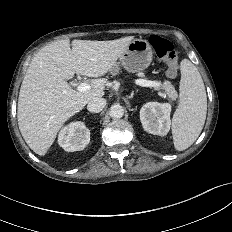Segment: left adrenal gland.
I'll return each mask as SVG.
<instances>
[{
  "mask_svg": "<svg viewBox=\"0 0 232 232\" xmlns=\"http://www.w3.org/2000/svg\"><path fill=\"white\" fill-rule=\"evenodd\" d=\"M133 95H134V93L132 92L131 95L129 96V98H133Z\"/></svg>",
  "mask_w": 232,
  "mask_h": 232,
  "instance_id": "obj_1",
  "label": "left adrenal gland"
}]
</instances>
